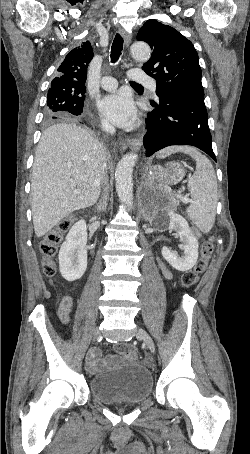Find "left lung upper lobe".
Returning <instances> with one entry per match:
<instances>
[{"instance_id": "1", "label": "left lung upper lobe", "mask_w": 250, "mask_h": 454, "mask_svg": "<svg viewBox=\"0 0 250 454\" xmlns=\"http://www.w3.org/2000/svg\"><path fill=\"white\" fill-rule=\"evenodd\" d=\"M137 39L147 42L153 50L142 69L156 79L159 97L204 96L198 54L188 39L154 19L143 25Z\"/></svg>"}]
</instances>
